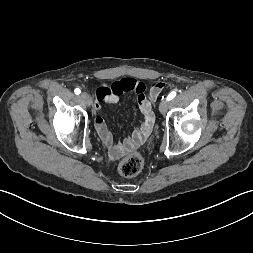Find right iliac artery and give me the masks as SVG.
I'll list each match as a JSON object with an SVG mask.
<instances>
[{
  "label": "right iliac artery",
  "mask_w": 253,
  "mask_h": 253,
  "mask_svg": "<svg viewBox=\"0 0 253 253\" xmlns=\"http://www.w3.org/2000/svg\"><path fill=\"white\" fill-rule=\"evenodd\" d=\"M74 92H75V94H80L81 93V90L79 89V88H76L75 90H74Z\"/></svg>",
  "instance_id": "obj_1"
}]
</instances>
